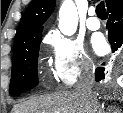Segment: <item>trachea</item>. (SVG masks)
Returning a JSON list of instances; mask_svg holds the SVG:
<instances>
[{
    "instance_id": "obj_1",
    "label": "trachea",
    "mask_w": 123,
    "mask_h": 113,
    "mask_svg": "<svg viewBox=\"0 0 123 113\" xmlns=\"http://www.w3.org/2000/svg\"><path fill=\"white\" fill-rule=\"evenodd\" d=\"M96 14L99 18H106L108 16L104 2L101 1L97 6H96Z\"/></svg>"
}]
</instances>
